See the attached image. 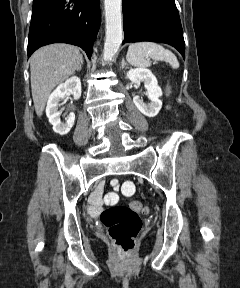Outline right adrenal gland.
Returning a JSON list of instances; mask_svg holds the SVG:
<instances>
[{
	"mask_svg": "<svg viewBox=\"0 0 240 288\" xmlns=\"http://www.w3.org/2000/svg\"><path fill=\"white\" fill-rule=\"evenodd\" d=\"M82 65H83V61L81 62V65L77 68L76 71H81V69H82Z\"/></svg>",
	"mask_w": 240,
	"mask_h": 288,
	"instance_id": "obj_1",
	"label": "right adrenal gland"
}]
</instances>
